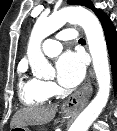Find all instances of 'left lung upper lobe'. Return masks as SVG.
<instances>
[{
    "mask_svg": "<svg viewBox=\"0 0 117 131\" xmlns=\"http://www.w3.org/2000/svg\"><path fill=\"white\" fill-rule=\"evenodd\" d=\"M67 3L71 5L85 6L87 8L92 9L95 12V14L100 11L99 9H96L94 7V5L92 4L90 0H67Z\"/></svg>",
    "mask_w": 117,
    "mask_h": 131,
    "instance_id": "5c2ea615",
    "label": "left lung upper lobe"
}]
</instances>
